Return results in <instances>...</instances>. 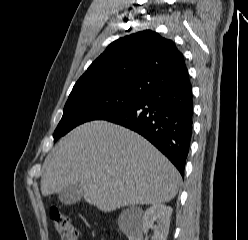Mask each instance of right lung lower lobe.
Returning <instances> with one entry per match:
<instances>
[{
	"instance_id": "98d812e1",
	"label": "right lung lower lobe",
	"mask_w": 248,
	"mask_h": 240,
	"mask_svg": "<svg viewBox=\"0 0 248 240\" xmlns=\"http://www.w3.org/2000/svg\"><path fill=\"white\" fill-rule=\"evenodd\" d=\"M103 120L141 134L184 175L193 124V95L189 77L143 96Z\"/></svg>"
}]
</instances>
